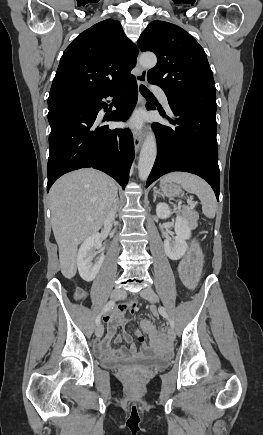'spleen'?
<instances>
[{"mask_svg": "<svg viewBox=\"0 0 263 435\" xmlns=\"http://www.w3.org/2000/svg\"><path fill=\"white\" fill-rule=\"evenodd\" d=\"M173 182L180 184L187 192L196 194L202 203V211L208 218L216 213V198L211 187L200 177L187 172H173L163 176L161 184Z\"/></svg>", "mask_w": 263, "mask_h": 435, "instance_id": "spleen-1", "label": "spleen"}]
</instances>
